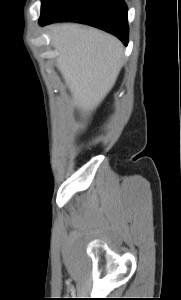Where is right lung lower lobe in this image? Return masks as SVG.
Listing matches in <instances>:
<instances>
[{"mask_svg":"<svg viewBox=\"0 0 181 300\" xmlns=\"http://www.w3.org/2000/svg\"><path fill=\"white\" fill-rule=\"evenodd\" d=\"M72 21L100 28L128 44L127 6L123 0H62L46 15L41 26Z\"/></svg>","mask_w":181,"mask_h":300,"instance_id":"obj_1","label":"right lung lower lobe"}]
</instances>
